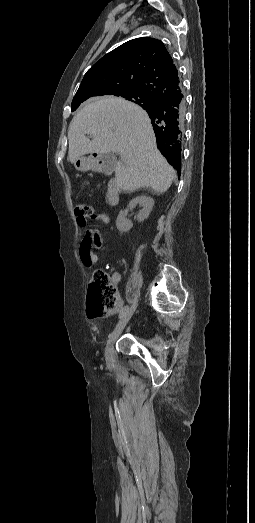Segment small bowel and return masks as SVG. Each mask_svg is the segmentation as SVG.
<instances>
[{"label":"small bowel","mask_w":255,"mask_h":523,"mask_svg":"<svg viewBox=\"0 0 255 523\" xmlns=\"http://www.w3.org/2000/svg\"><path fill=\"white\" fill-rule=\"evenodd\" d=\"M92 218L100 223H108L110 221L105 214H96ZM100 244L98 229L93 226L88 227L80 244V258L85 266L91 267L98 262V255L95 250L100 247ZM111 280L114 285H117L121 280V275L118 272H114Z\"/></svg>","instance_id":"small-bowel-1"}]
</instances>
